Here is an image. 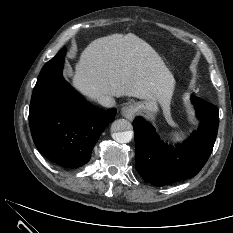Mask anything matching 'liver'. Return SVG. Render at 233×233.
Masks as SVG:
<instances>
[{
    "mask_svg": "<svg viewBox=\"0 0 233 233\" xmlns=\"http://www.w3.org/2000/svg\"><path fill=\"white\" fill-rule=\"evenodd\" d=\"M90 99L121 96L168 105L174 77L159 54L135 34H113L91 42L81 53L72 78Z\"/></svg>",
    "mask_w": 233,
    "mask_h": 233,
    "instance_id": "1",
    "label": "liver"
}]
</instances>
